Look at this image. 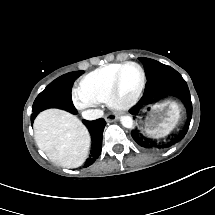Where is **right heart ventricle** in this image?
I'll list each match as a JSON object with an SVG mask.
<instances>
[{
    "mask_svg": "<svg viewBox=\"0 0 215 215\" xmlns=\"http://www.w3.org/2000/svg\"><path fill=\"white\" fill-rule=\"evenodd\" d=\"M119 64L101 66L83 78L81 91L83 90V95L88 102L101 104L107 100L116 79L114 71L118 69Z\"/></svg>",
    "mask_w": 215,
    "mask_h": 215,
    "instance_id": "1",
    "label": "right heart ventricle"
}]
</instances>
